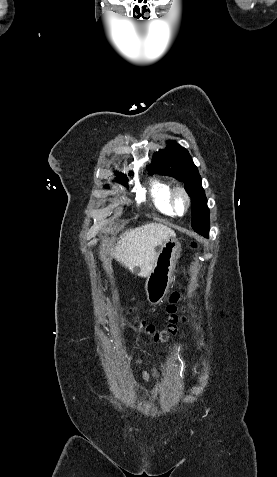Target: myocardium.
<instances>
[{"label": "myocardium", "instance_id": "obj_1", "mask_svg": "<svg viewBox=\"0 0 277 477\" xmlns=\"http://www.w3.org/2000/svg\"><path fill=\"white\" fill-rule=\"evenodd\" d=\"M179 198H181L184 202V206L182 209L179 207ZM170 204L174 212L182 216L188 212L191 206V198L187 192V190L183 186H175L170 191Z\"/></svg>", "mask_w": 277, "mask_h": 477}]
</instances>
